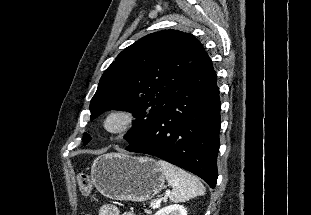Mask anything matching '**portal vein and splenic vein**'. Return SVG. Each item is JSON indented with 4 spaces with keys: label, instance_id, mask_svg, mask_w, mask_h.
Here are the masks:
<instances>
[{
    "label": "portal vein and splenic vein",
    "instance_id": "18ae733b",
    "mask_svg": "<svg viewBox=\"0 0 311 215\" xmlns=\"http://www.w3.org/2000/svg\"><path fill=\"white\" fill-rule=\"evenodd\" d=\"M169 193H170V191H167L164 197L158 199V200L154 203L153 208H159V207H160V203H161L162 201H166V200H167V196L169 195Z\"/></svg>",
    "mask_w": 311,
    "mask_h": 215
}]
</instances>
